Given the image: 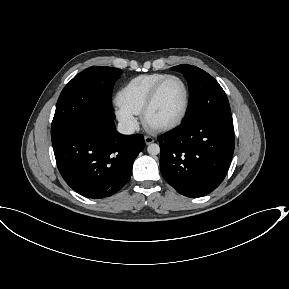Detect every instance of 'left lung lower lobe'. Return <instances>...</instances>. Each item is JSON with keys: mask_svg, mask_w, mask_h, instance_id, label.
I'll list each match as a JSON object with an SVG mask.
<instances>
[{"mask_svg": "<svg viewBox=\"0 0 289 289\" xmlns=\"http://www.w3.org/2000/svg\"><path fill=\"white\" fill-rule=\"evenodd\" d=\"M163 178L187 197H201L224 180L234 151L232 122L202 117L158 137Z\"/></svg>", "mask_w": 289, "mask_h": 289, "instance_id": "0a47b994", "label": "left lung lower lobe"}]
</instances>
